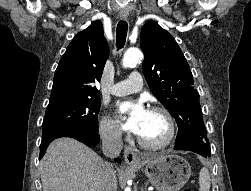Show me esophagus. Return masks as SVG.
Returning a JSON list of instances; mask_svg holds the SVG:
<instances>
[{"label":"esophagus","mask_w":251,"mask_h":191,"mask_svg":"<svg viewBox=\"0 0 251 191\" xmlns=\"http://www.w3.org/2000/svg\"><path fill=\"white\" fill-rule=\"evenodd\" d=\"M128 15H129V12H127V11H120L119 12V16L122 19L127 18ZM124 159H125L126 163L132 167H136L140 162V159L134 153L133 149L130 146H125V148H124Z\"/></svg>","instance_id":"esophagus-1"}]
</instances>
